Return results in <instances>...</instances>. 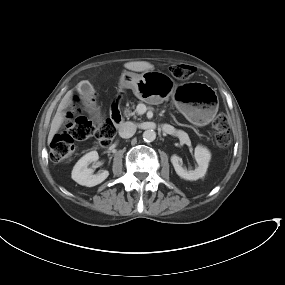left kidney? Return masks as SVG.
<instances>
[{"label":"left kidney","mask_w":285,"mask_h":285,"mask_svg":"<svg viewBox=\"0 0 285 285\" xmlns=\"http://www.w3.org/2000/svg\"><path fill=\"white\" fill-rule=\"evenodd\" d=\"M194 157L198 167H196L195 170L188 171L182 166V159L179 156L175 154L171 156V163L173 164L176 173L181 178L193 181L202 178L206 174L211 159L210 151L206 147L198 145L195 148Z\"/></svg>","instance_id":"1"}]
</instances>
